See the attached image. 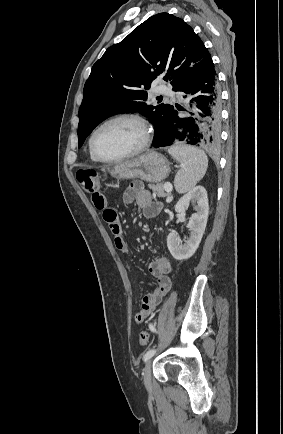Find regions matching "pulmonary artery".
I'll return each mask as SVG.
<instances>
[{
	"label": "pulmonary artery",
	"instance_id": "obj_1",
	"mask_svg": "<svg viewBox=\"0 0 283 434\" xmlns=\"http://www.w3.org/2000/svg\"><path fill=\"white\" fill-rule=\"evenodd\" d=\"M156 92L158 94H164L171 97H178L176 93H174L170 88H168L166 85L161 84L156 88Z\"/></svg>",
	"mask_w": 283,
	"mask_h": 434
}]
</instances>
